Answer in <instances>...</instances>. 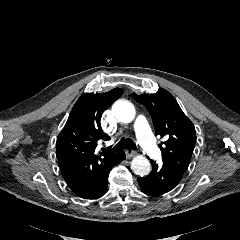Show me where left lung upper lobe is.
Segmentation results:
<instances>
[{"instance_id":"left-lung-upper-lobe-1","label":"left lung upper lobe","mask_w":240,"mask_h":240,"mask_svg":"<svg viewBox=\"0 0 240 240\" xmlns=\"http://www.w3.org/2000/svg\"><path fill=\"white\" fill-rule=\"evenodd\" d=\"M149 111L156 135L165 137L160 145L162 165L168 167L180 177L184 176L196 142L193 123L183 113L175 98L165 89L149 95L132 94Z\"/></svg>"}]
</instances>
